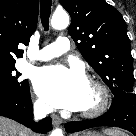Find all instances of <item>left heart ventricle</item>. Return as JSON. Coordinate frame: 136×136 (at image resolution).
I'll return each instance as SVG.
<instances>
[{"label":"left heart ventricle","instance_id":"obj_1","mask_svg":"<svg viewBox=\"0 0 136 136\" xmlns=\"http://www.w3.org/2000/svg\"><path fill=\"white\" fill-rule=\"evenodd\" d=\"M97 99L98 97L95 89L90 84H88L85 101L81 110L93 107L96 104Z\"/></svg>","mask_w":136,"mask_h":136}]
</instances>
